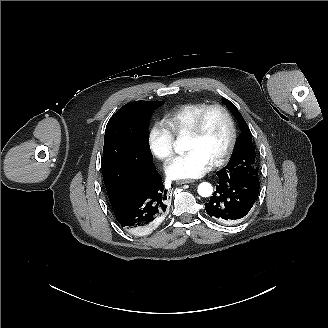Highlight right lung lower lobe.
I'll return each instance as SVG.
<instances>
[{
	"label": "right lung lower lobe",
	"instance_id": "right-lung-lower-lobe-1",
	"mask_svg": "<svg viewBox=\"0 0 328 328\" xmlns=\"http://www.w3.org/2000/svg\"><path fill=\"white\" fill-rule=\"evenodd\" d=\"M167 199V190L155 169L146 184L131 186L112 207L121 227L145 235L162 221Z\"/></svg>",
	"mask_w": 328,
	"mask_h": 328
}]
</instances>
